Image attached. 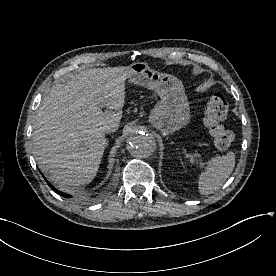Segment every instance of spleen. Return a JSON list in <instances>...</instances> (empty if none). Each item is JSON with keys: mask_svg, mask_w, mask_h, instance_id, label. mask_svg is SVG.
I'll return each instance as SVG.
<instances>
[{"mask_svg": "<svg viewBox=\"0 0 276 276\" xmlns=\"http://www.w3.org/2000/svg\"><path fill=\"white\" fill-rule=\"evenodd\" d=\"M235 167V154L229 152L216 156L208 162V168L199 176L198 188L202 195L217 191L229 178Z\"/></svg>", "mask_w": 276, "mask_h": 276, "instance_id": "1", "label": "spleen"}]
</instances>
